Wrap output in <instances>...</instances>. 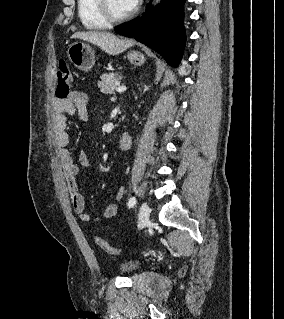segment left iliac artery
<instances>
[{
  "label": "left iliac artery",
  "mask_w": 284,
  "mask_h": 319,
  "mask_svg": "<svg viewBox=\"0 0 284 319\" xmlns=\"http://www.w3.org/2000/svg\"><path fill=\"white\" fill-rule=\"evenodd\" d=\"M136 204V198L135 197H131L128 201V207L131 208Z\"/></svg>",
  "instance_id": "1"
}]
</instances>
